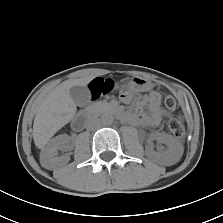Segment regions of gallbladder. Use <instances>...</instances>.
<instances>
[{
    "mask_svg": "<svg viewBox=\"0 0 223 223\" xmlns=\"http://www.w3.org/2000/svg\"><path fill=\"white\" fill-rule=\"evenodd\" d=\"M70 96L78 106L87 105L90 101V91L86 86L76 85L71 87Z\"/></svg>",
    "mask_w": 223,
    "mask_h": 223,
    "instance_id": "bac80fb5",
    "label": "gallbladder"
}]
</instances>
